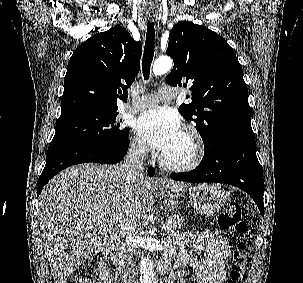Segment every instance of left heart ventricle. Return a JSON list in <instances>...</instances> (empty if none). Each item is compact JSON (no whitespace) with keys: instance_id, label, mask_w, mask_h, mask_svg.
Returning <instances> with one entry per match:
<instances>
[{"instance_id":"b2bd125f","label":"left heart ventricle","mask_w":303,"mask_h":283,"mask_svg":"<svg viewBox=\"0 0 303 283\" xmlns=\"http://www.w3.org/2000/svg\"><path fill=\"white\" fill-rule=\"evenodd\" d=\"M193 151V146L189 138L182 132L176 143L165 153L164 157L174 163L187 161Z\"/></svg>"}]
</instances>
